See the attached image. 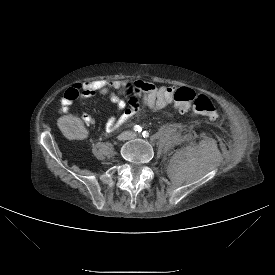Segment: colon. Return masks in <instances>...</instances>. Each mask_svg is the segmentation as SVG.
<instances>
[{
  "label": "colon",
  "mask_w": 275,
  "mask_h": 275,
  "mask_svg": "<svg viewBox=\"0 0 275 275\" xmlns=\"http://www.w3.org/2000/svg\"><path fill=\"white\" fill-rule=\"evenodd\" d=\"M138 90H133L132 96L129 98L130 103L132 98L138 94ZM126 94V92L122 91ZM174 100L177 108L181 112L189 110L197 114L206 116L209 120L214 121L218 118V109L215 103L204 93H198L191 88H180L174 94Z\"/></svg>",
  "instance_id": "1"
}]
</instances>
